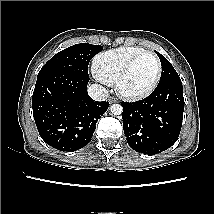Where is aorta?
Segmentation results:
<instances>
[{
	"instance_id": "obj_1",
	"label": "aorta",
	"mask_w": 214,
	"mask_h": 214,
	"mask_svg": "<svg viewBox=\"0 0 214 214\" xmlns=\"http://www.w3.org/2000/svg\"><path fill=\"white\" fill-rule=\"evenodd\" d=\"M111 113L114 115H120L123 112V107L120 104H113L110 107Z\"/></svg>"
}]
</instances>
